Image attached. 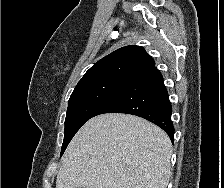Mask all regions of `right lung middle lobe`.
I'll use <instances>...</instances> for the list:
<instances>
[{
    "instance_id": "dd1d6c3e",
    "label": "right lung middle lobe",
    "mask_w": 224,
    "mask_h": 188,
    "mask_svg": "<svg viewBox=\"0 0 224 188\" xmlns=\"http://www.w3.org/2000/svg\"><path fill=\"white\" fill-rule=\"evenodd\" d=\"M130 81L126 78H104L77 84L68 102L61 155L79 128Z\"/></svg>"
}]
</instances>
